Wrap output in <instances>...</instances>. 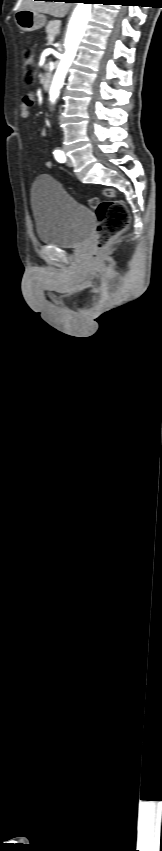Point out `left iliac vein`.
Returning a JSON list of instances; mask_svg holds the SVG:
<instances>
[{
    "label": "left iliac vein",
    "instance_id": "obj_1",
    "mask_svg": "<svg viewBox=\"0 0 162 851\" xmlns=\"http://www.w3.org/2000/svg\"><path fill=\"white\" fill-rule=\"evenodd\" d=\"M66 164H67L69 167H71V166L73 165L72 160H71L69 157H67V158H66Z\"/></svg>",
    "mask_w": 162,
    "mask_h": 851
}]
</instances>
